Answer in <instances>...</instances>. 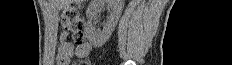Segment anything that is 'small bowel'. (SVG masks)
<instances>
[{"instance_id": "small-bowel-1", "label": "small bowel", "mask_w": 232, "mask_h": 65, "mask_svg": "<svg viewBox=\"0 0 232 65\" xmlns=\"http://www.w3.org/2000/svg\"><path fill=\"white\" fill-rule=\"evenodd\" d=\"M90 50L91 45L89 43H85L82 46L74 49L70 43L63 42L60 45L59 58L63 63L68 64L74 54H76L77 56H85L90 52Z\"/></svg>"}]
</instances>
